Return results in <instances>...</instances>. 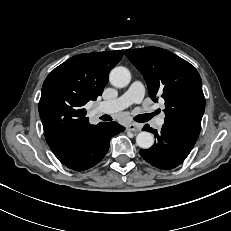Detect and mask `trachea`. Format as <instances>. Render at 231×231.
Masks as SVG:
<instances>
[{"instance_id": "trachea-1", "label": "trachea", "mask_w": 231, "mask_h": 231, "mask_svg": "<svg viewBox=\"0 0 231 231\" xmlns=\"http://www.w3.org/2000/svg\"><path fill=\"white\" fill-rule=\"evenodd\" d=\"M156 113H150V114H142V115H137L134 120L137 122H147L149 121ZM102 120L104 121H110L112 118L109 115H103L101 117Z\"/></svg>"}]
</instances>
